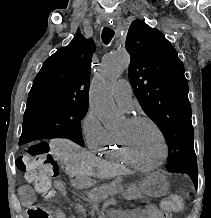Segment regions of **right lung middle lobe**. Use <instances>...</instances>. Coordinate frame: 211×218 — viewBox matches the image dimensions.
Returning <instances> with one entry per match:
<instances>
[{
    "label": "right lung middle lobe",
    "mask_w": 211,
    "mask_h": 218,
    "mask_svg": "<svg viewBox=\"0 0 211 218\" xmlns=\"http://www.w3.org/2000/svg\"><path fill=\"white\" fill-rule=\"evenodd\" d=\"M87 109L88 104L75 102L27 103L22 136L31 140L62 137L83 146L80 121L86 115Z\"/></svg>",
    "instance_id": "1"
}]
</instances>
